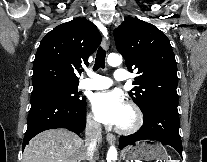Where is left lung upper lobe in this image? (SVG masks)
I'll return each mask as SVG.
<instances>
[{
    "instance_id": "1",
    "label": "left lung upper lobe",
    "mask_w": 207,
    "mask_h": 162,
    "mask_svg": "<svg viewBox=\"0 0 207 162\" xmlns=\"http://www.w3.org/2000/svg\"><path fill=\"white\" fill-rule=\"evenodd\" d=\"M114 37L128 69L138 70L130 97L141 111L159 99L178 101L177 65L167 36L150 23L127 18Z\"/></svg>"
}]
</instances>
